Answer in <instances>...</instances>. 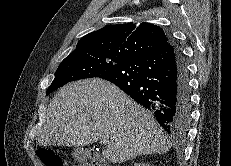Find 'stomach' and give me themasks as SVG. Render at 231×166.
<instances>
[{"instance_id":"1","label":"stomach","mask_w":231,"mask_h":166,"mask_svg":"<svg viewBox=\"0 0 231 166\" xmlns=\"http://www.w3.org/2000/svg\"><path fill=\"white\" fill-rule=\"evenodd\" d=\"M83 152H84V151H83L82 149H78V150L75 151L74 156H75L78 160H82L81 155L83 154Z\"/></svg>"}]
</instances>
